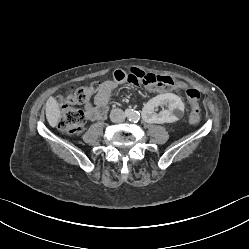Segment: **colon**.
<instances>
[{"label":"colon","mask_w":249,"mask_h":249,"mask_svg":"<svg viewBox=\"0 0 249 249\" xmlns=\"http://www.w3.org/2000/svg\"><path fill=\"white\" fill-rule=\"evenodd\" d=\"M144 73V80L141 85L151 89H156L165 83H172L174 80L170 77L165 79L150 73ZM131 75V74H130ZM181 88H185L186 84L182 81L175 82ZM101 84L93 83L87 87L72 88L65 95L57 98L58 105L61 109V115L58 122L59 129L67 135H77L81 133L85 125L84 113L79 110L76 105L85 103L93 93L100 89ZM185 95L190 103L189 120L192 124H198L201 121L200 107L198 104L200 94L194 88H185Z\"/></svg>","instance_id":"obj_1"}]
</instances>
